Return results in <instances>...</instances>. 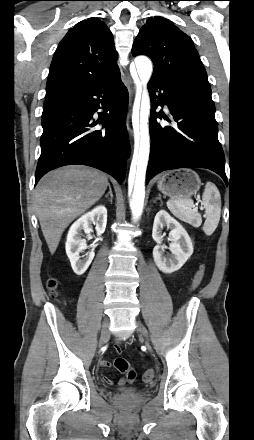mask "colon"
I'll return each mask as SVG.
<instances>
[{"label":"colon","instance_id":"5ec220e1","mask_svg":"<svg viewBox=\"0 0 254 440\" xmlns=\"http://www.w3.org/2000/svg\"><path fill=\"white\" fill-rule=\"evenodd\" d=\"M204 276H205V268H204V266H201L197 270V272L195 273V275L192 279L191 286H190V289L192 291L196 290L201 285V283L204 279ZM58 285H59L58 281L54 278L49 279L47 282V287L53 295L56 293ZM114 366L119 372L126 374V378H127L128 382L132 383L136 380L137 374H136L135 370L130 367V365L126 359L117 358L114 361ZM153 376H154L153 371L147 370V371H145V373L143 375V380L145 382H150V381H152Z\"/></svg>","mask_w":254,"mask_h":440}]
</instances>
